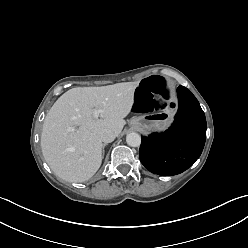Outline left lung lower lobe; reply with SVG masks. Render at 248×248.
Masks as SVG:
<instances>
[{
    "instance_id": "1",
    "label": "left lung lower lobe",
    "mask_w": 248,
    "mask_h": 248,
    "mask_svg": "<svg viewBox=\"0 0 248 248\" xmlns=\"http://www.w3.org/2000/svg\"><path fill=\"white\" fill-rule=\"evenodd\" d=\"M178 112L168 130L143 137L140 161L154 174L171 176L192 166L206 140V118L195 96L184 86L177 89Z\"/></svg>"
}]
</instances>
